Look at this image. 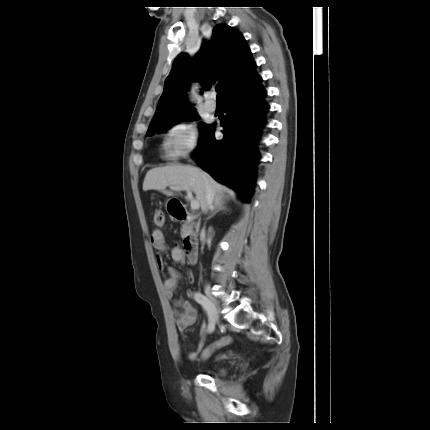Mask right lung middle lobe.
<instances>
[{
  "label": "right lung middle lobe",
  "instance_id": "obj_1",
  "mask_svg": "<svg viewBox=\"0 0 430 430\" xmlns=\"http://www.w3.org/2000/svg\"><path fill=\"white\" fill-rule=\"evenodd\" d=\"M193 116H195L196 118L198 117V115L196 114V111L188 110V111L182 112V113L175 115V116H173V117H171L165 121H162V122H159L157 124L150 126L148 131H147V135L151 136L155 132H157V133L164 132V131L168 130L172 125H174L176 122L185 121L186 119H190ZM200 129H201V138H200V143H201L202 140L204 139L205 135L210 130V128H209V126H207L205 124H201Z\"/></svg>",
  "mask_w": 430,
  "mask_h": 430
}]
</instances>
